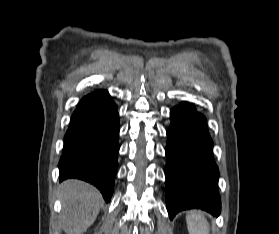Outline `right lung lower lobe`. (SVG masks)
Returning <instances> with one entry per match:
<instances>
[{"label":"right lung lower lobe","instance_id":"98d812e1","mask_svg":"<svg viewBox=\"0 0 279 234\" xmlns=\"http://www.w3.org/2000/svg\"><path fill=\"white\" fill-rule=\"evenodd\" d=\"M119 118L105 90L85 96L72 114L59 162L60 180L78 178L95 185L109 202L117 173Z\"/></svg>","mask_w":279,"mask_h":234}]
</instances>
